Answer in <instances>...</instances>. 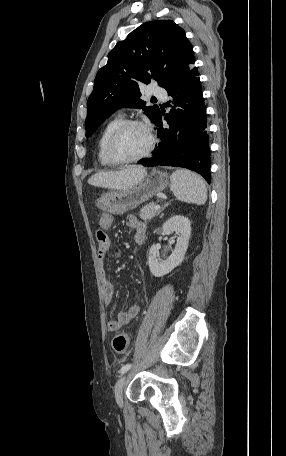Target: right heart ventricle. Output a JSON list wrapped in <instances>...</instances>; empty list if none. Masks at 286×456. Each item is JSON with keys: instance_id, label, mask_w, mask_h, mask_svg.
<instances>
[{"instance_id": "obj_1", "label": "right heart ventricle", "mask_w": 286, "mask_h": 456, "mask_svg": "<svg viewBox=\"0 0 286 456\" xmlns=\"http://www.w3.org/2000/svg\"><path fill=\"white\" fill-rule=\"evenodd\" d=\"M123 116L117 114L113 116L103 127L98 139L97 156L99 162L104 166H112V163L106 155V143L113 130L123 121Z\"/></svg>"}]
</instances>
